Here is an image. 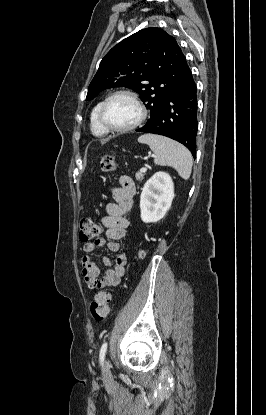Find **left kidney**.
<instances>
[{
  "label": "left kidney",
  "mask_w": 266,
  "mask_h": 415,
  "mask_svg": "<svg viewBox=\"0 0 266 415\" xmlns=\"http://www.w3.org/2000/svg\"><path fill=\"white\" fill-rule=\"evenodd\" d=\"M174 198V184L166 172H156L144 185L140 196L141 220L158 222L170 209Z\"/></svg>",
  "instance_id": "5707ae66"
}]
</instances>
